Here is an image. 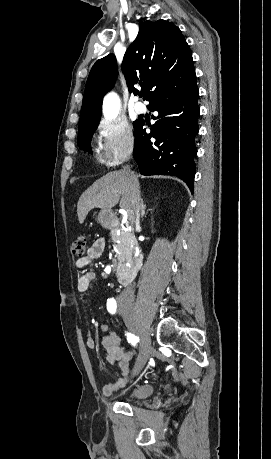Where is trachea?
<instances>
[{
	"label": "trachea",
	"mask_w": 271,
	"mask_h": 459,
	"mask_svg": "<svg viewBox=\"0 0 271 459\" xmlns=\"http://www.w3.org/2000/svg\"><path fill=\"white\" fill-rule=\"evenodd\" d=\"M143 95H145L144 89H142V91L140 92V96L142 97Z\"/></svg>",
	"instance_id": "obj_1"
}]
</instances>
